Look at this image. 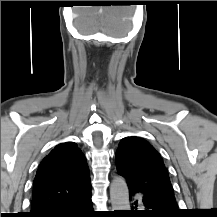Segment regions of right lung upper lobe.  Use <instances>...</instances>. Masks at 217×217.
<instances>
[{
    "label": "right lung upper lobe",
    "instance_id": "1",
    "mask_svg": "<svg viewBox=\"0 0 217 217\" xmlns=\"http://www.w3.org/2000/svg\"><path fill=\"white\" fill-rule=\"evenodd\" d=\"M90 193L91 181L84 154L73 142L61 143L39 165L28 214L38 215L61 202Z\"/></svg>",
    "mask_w": 217,
    "mask_h": 217
}]
</instances>
